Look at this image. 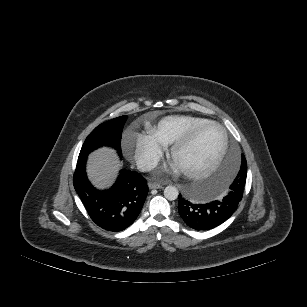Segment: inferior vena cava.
Wrapping results in <instances>:
<instances>
[{
    "label": "inferior vena cava",
    "instance_id": "obj_1",
    "mask_svg": "<svg viewBox=\"0 0 307 307\" xmlns=\"http://www.w3.org/2000/svg\"><path fill=\"white\" fill-rule=\"evenodd\" d=\"M158 162H159V159L157 156H147V157L140 158L137 161V167L141 171H151L157 166Z\"/></svg>",
    "mask_w": 307,
    "mask_h": 307
}]
</instances>
